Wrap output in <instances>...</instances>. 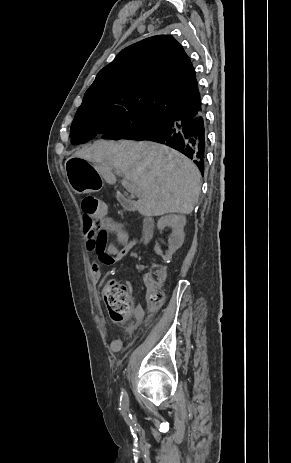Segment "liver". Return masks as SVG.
<instances>
[{
	"label": "liver",
	"instance_id": "1",
	"mask_svg": "<svg viewBox=\"0 0 291 463\" xmlns=\"http://www.w3.org/2000/svg\"><path fill=\"white\" fill-rule=\"evenodd\" d=\"M73 158L92 162L110 185L116 183L113 168L140 190L136 203L143 216L166 213L190 214L198 202L201 174L187 157L150 141L99 140L75 152Z\"/></svg>",
	"mask_w": 291,
	"mask_h": 463
}]
</instances>
